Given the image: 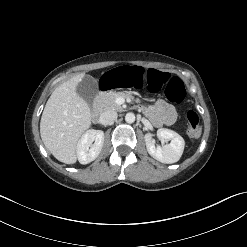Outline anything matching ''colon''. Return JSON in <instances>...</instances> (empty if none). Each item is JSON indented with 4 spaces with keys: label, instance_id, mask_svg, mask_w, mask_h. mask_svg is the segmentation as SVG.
Segmentation results:
<instances>
[{
    "label": "colon",
    "instance_id": "obj_1",
    "mask_svg": "<svg viewBox=\"0 0 247 247\" xmlns=\"http://www.w3.org/2000/svg\"><path fill=\"white\" fill-rule=\"evenodd\" d=\"M89 84L96 89L105 88L115 90L117 88L133 87L144 88L150 92H157L164 88L165 95L171 102L180 103L185 98L186 92L183 82L178 77L161 72L154 67H145L141 64L128 63L118 65L105 71H93L88 78ZM189 134L197 137L201 133V125L198 114L189 110L186 114Z\"/></svg>",
    "mask_w": 247,
    "mask_h": 247
}]
</instances>
